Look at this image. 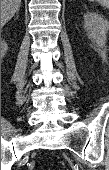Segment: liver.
<instances>
[{"label": "liver", "instance_id": "6515ba94", "mask_svg": "<svg viewBox=\"0 0 109 170\" xmlns=\"http://www.w3.org/2000/svg\"><path fill=\"white\" fill-rule=\"evenodd\" d=\"M21 0H1V25L4 26L20 8Z\"/></svg>", "mask_w": 109, "mask_h": 170}]
</instances>
